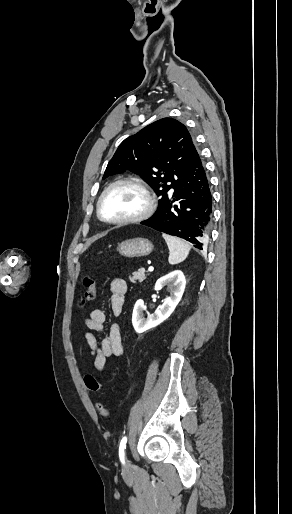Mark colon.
Returning <instances> with one entry per match:
<instances>
[{"label": "colon", "instance_id": "1", "mask_svg": "<svg viewBox=\"0 0 292 514\" xmlns=\"http://www.w3.org/2000/svg\"><path fill=\"white\" fill-rule=\"evenodd\" d=\"M95 296H96V286H95L94 280L90 276H87L84 280V291H83V294L80 299V305L90 304L94 300ZM84 381H85V385L88 388L92 389L91 390L92 392L94 390L101 389L100 384L96 381V379L94 378V375L92 373H87L85 375ZM97 408L100 411V413H102L103 415H108V409L101 403L97 404Z\"/></svg>", "mask_w": 292, "mask_h": 514}]
</instances>
